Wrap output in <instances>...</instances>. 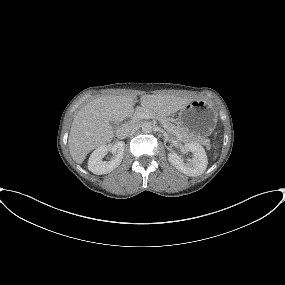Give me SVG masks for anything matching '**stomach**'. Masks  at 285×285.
<instances>
[{
	"label": "stomach",
	"mask_w": 285,
	"mask_h": 285,
	"mask_svg": "<svg viewBox=\"0 0 285 285\" xmlns=\"http://www.w3.org/2000/svg\"><path fill=\"white\" fill-rule=\"evenodd\" d=\"M177 123L191 138H204L214 131L217 113L210 102L195 99L179 111Z\"/></svg>",
	"instance_id": "0dacf381"
}]
</instances>
